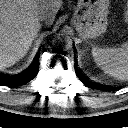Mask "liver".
Listing matches in <instances>:
<instances>
[{
    "mask_svg": "<svg viewBox=\"0 0 128 128\" xmlns=\"http://www.w3.org/2000/svg\"><path fill=\"white\" fill-rule=\"evenodd\" d=\"M61 0H0V70L14 65L28 52L47 14L52 25Z\"/></svg>",
    "mask_w": 128,
    "mask_h": 128,
    "instance_id": "obj_1",
    "label": "liver"
}]
</instances>
